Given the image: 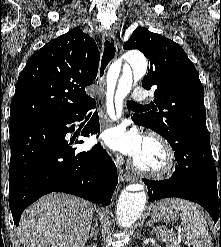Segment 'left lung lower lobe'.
Segmentation results:
<instances>
[{
	"label": "left lung lower lobe",
	"instance_id": "left-lung-lower-lobe-1",
	"mask_svg": "<svg viewBox=\"0 0 221 247\" xmlns=\"http://www.w3.org/2000/svg\"><path fill=\"white\" fill-rule=\"evenodd\" d=\"M133 120L140 124L137 116ZM172 148L177 160L172 177L161 181L143 180L149 201L169 197L190 200L204 207L215 223L220 217L221 224V171L219 186L209 133L190 137L184 145Z\"/></svg>",
	"mask_w": 221,
	"mask_h": 247
}]
</instances>
